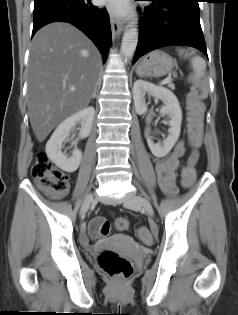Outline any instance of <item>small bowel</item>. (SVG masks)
Masks as SVG:
<instances>
[{
	"label": "small bowel",
	"instance_id": "small-bowel-1",
	"mask_svg": "<svg viewBox=\"0 0 238 315\" xmlns=\"http://www.w3.org/2000/svg\"><path fill=\"white\" fill-rule=\"evenodd\" d=\"M185 153V145L182 141L178 142L173 151L164 158L155 159V170L158 177V183L162 191L168 195L173 196L177 192L176 186V171L179 166V159ZM198 153L193 152L189 158V182L193 183L195 178L194 164L197 160ZM189 185V186H190ZM188 187V186H187ZM143 243H149L150 238H140Z\"/></svg>",
	"mask_w": 238,
	"mask_h": 315
}]
</instances>
